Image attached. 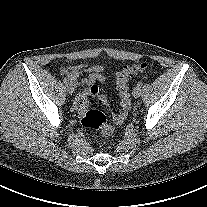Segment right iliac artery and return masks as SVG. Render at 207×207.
<instances>
[{"instance_id": "82829eb1", "label": "right iliac artery", "mask_w": 207, "mask_h": 207, "mask_svg": "<svg viewBox=\"0 0 207 207\" xmlns=\"http://www.w3.org/2000/svg\"><path fill=\"white\" fill-rule=\"evenodd\" d=\"M63 82L67 85L69 83V80L67 78H64Z\"/></svg>"}]
</instances>
